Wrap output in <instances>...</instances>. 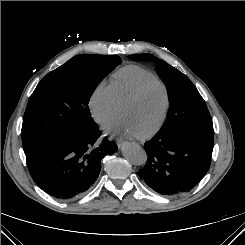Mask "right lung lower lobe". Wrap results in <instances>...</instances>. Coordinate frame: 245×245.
Masks as SVG:
<instances>
[{"label": "right lung lower lobe", "instance_id": "1", "mask_svg": "<svg viewBox=\"0 0 245 245\" xmlns=\"http://www.w3.org/2000/svg\"><path fill=\"white\" fill-rule=\"evenodd\" d=\"M97 124L82 136H68L26 154L27 166L36 184L59 199L85 194L97 179L101 158L117 150Z\"/></svg>", "mask_w": 245, "mask_h": 245}]
</instances>
